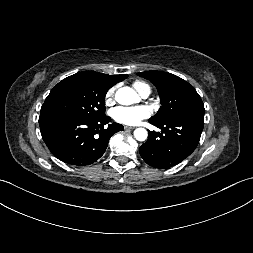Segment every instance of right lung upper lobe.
Wrapping results in <instances>:
<instances>
[{
	"mask_svg": "<svg viewBox=\"0 0 253 253\" xmlns=\"http://www.w3.org/2000/svg\"><path fill=\"white\" fill-rule=\"evenodd\" d=\"M98 73V72H96ZM111 87L115 85L116 83L124 80L127 78L128 75H107V74H102L98 73Z\"/></svg>",
	"mask_w": 253,
	"mask_h": 253,
	"instance_id": "obj_1",
	"label": "right lung upper lobe"
}]
</instances>
